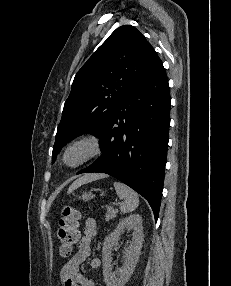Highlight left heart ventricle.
Wrapping results in <instances>:
<instances>
[{"instance_id":"left-heart-ventricle-1","label":"left heart ventricle","mask_w":231,"mask_h":286,"mask_svg":"<svg viewBox=\"0 0 231 286\" xmlns=\"http://www.w3.org/2000/svg\"><path fill=\"white\" fill-rule=\"evenodd\" d=\"M84 154H85L84 148H76L69 153L67 161L70 164L76 163L83 157Z\"/></svg>"}]
</instances>
